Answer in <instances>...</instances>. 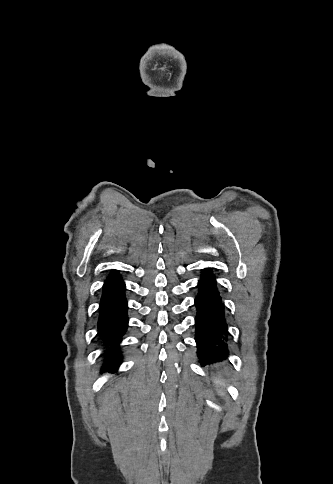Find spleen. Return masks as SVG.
<instances>
[{
    "label": "spleen",
    "mask_w": 333,
    "mask_h": 484,
    "mask_svg": "<svg viewBox=\"0 0 333 484\" xmlns=\"http://www.w3.org/2000/svg\"><path fill=\"white\" fill-rule=\"evenodd\" d=\"M218 392H219L220 394H223V391H222V390H219Z\"/></svg>",
    "instance_id": "spleen-1"
}]
</instances>
